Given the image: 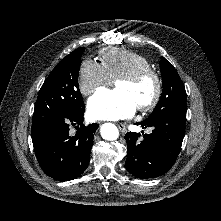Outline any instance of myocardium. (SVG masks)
<instances>
[{"mask_svg": "<svg viewBox=\"0 0 221 221\" xmlns=\"http://www.w3.org/2000/svg\"><path fill=\"white\" fill-rule=\"evenodd\" d=\"M146 78H151L154 81L155 92L152 98L147 103L137 107L140 112H148L152 110L160 101L163 90V83L160 75L152 68H144L134 71L130 74L124 75L118 78L116 81V83L120 81H125L129 83H138Z\"/></svg>", "mask_w": 221, "mask_h": 221, "instance_id": "myocardium-1", "label": "myocardium"}]
</instances>
